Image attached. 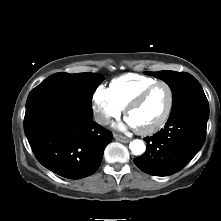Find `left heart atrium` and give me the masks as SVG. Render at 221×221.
Here are the masks:
<instances>
[{
    "label": "left heart atrium",
    "instance_id": "1",
    "mask_svg": "<svg viewBox=\"0 0 221 221\" xmlns=\"http://www.w3.org/2000/svg\"><path fill=\"white\" fill-rule=\"evenodd\" d=\"M128 124H129L131 127H133V125H132L130 122H128Z\"/></svg>",
    "mask_w": 221,
    "mask_h": 221
}]
</instances>
